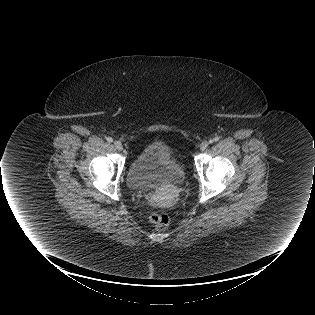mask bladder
I'll use <instances>...</instances> for the list:
<instances>
[{
  "mask_svg": "<svg viewBox=\"0 0 315 315\" xmlns=\"http://www.w3.org/2000/svg\"><path fill=\"white\" fill-rule=\"evenodd\" d=\"M186 172L173 150L162 142L145 147L132 161L127 183L134 190H154L165 184H182Z\"/></svg>",
  "mask_w": 315,
  "mask_h": 315,
  "instance_id": "1",
  "label": "bladder"
}]
</instances>
